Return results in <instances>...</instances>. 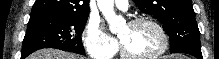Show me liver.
Here are the masks:
<instances>
[{
  "mask_svg": "<svg viewBox=\"0 0 219 59\" xmlns=\"http://www.w3.org/2000/svg\"><path fill=\"white\" fill-rule=\"evenodd\" d=\"M28 59H84V58L56 49H41L31 54L28 57Z\"/></svg>",
  "mask_w": 219,
  "mask_h": 59,
  "instance_id": "6515ba94",
  "label": "liver"
}]
</instances>
